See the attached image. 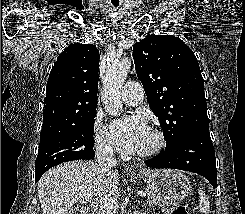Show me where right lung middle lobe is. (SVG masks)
<instances>
[{
  "label": "right lung middle lobe",
  "instance_id": "right-lung-middle-lobe-1",
  "mask_svg": "<svg viewBox=\"0 0 245 214\" xmlns=\"http://www.w3.org/2000/svg\"><path fill=\"white\" fill-rule=\"evenodd\" d=\"M95 115L96 109L75 124H70L50 134L40 135L35 173L46 172L67 161L92 159Z\"/></svg>",
  "mask_w": 245,
  "mask_h": 214
}]
</instances>
